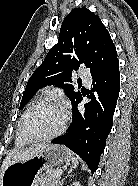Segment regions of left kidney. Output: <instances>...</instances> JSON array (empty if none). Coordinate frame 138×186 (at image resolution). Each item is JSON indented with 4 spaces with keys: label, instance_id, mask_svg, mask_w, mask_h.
<instances>
[{
    "label": "left kidney",
    "instance_id": "left-kidney-1",
    "mask_svg": "<svg viewBox=\"0 0 138 186\" xmlns=\"http://www.w3.org/2000/svg\"><path fill=\"white\" fill-rule=\"evenodd\" d=\"M71 186H81V184L79 182H74Z\"/></svg>",
    "mask_w": 138,
    "mask_h": 186
}]
</instances>
